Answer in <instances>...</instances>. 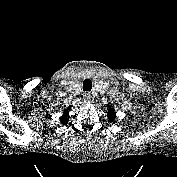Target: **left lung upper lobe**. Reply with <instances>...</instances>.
<instances>
[{"label":"left lung upper lobe","mask_w":177,"mask_h":177,"mask_svg":"<svg viewBox=\"0 0 177 177\" xmlns=\"http://www.w3.org/2000/svg\"><path fill=\"white\" fill-rule=\"evenodd\" d=\"M108 117H109V121L112 122L115 119V112H114V108L109 109V112L107 113Z\"/></svg>","instance_id":"5c2ea615"}]
</instances>
